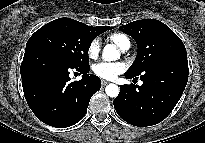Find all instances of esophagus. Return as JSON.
Listing matches in <instances>:
<instances>
[{
	"label": "esophagus",
	"mask_w": 205,
	"mask_h": 143,
	"mask_svg": "<svg viewBox=\"0 0 205 143\" xmlns=\"http://www.w3.org/2000/svg\"><path fill=\"white\" fill-rule=\"evenodd\" d=\"M101 83H102V86H106V85L109 83V81H107V80H102Z\"/></svg>",
	"instance_id": "esophagus-1"
}]
</instances>
